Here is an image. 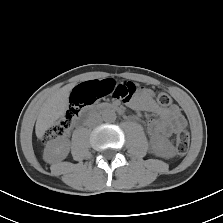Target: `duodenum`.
Instances as JSON below:
<instances>
[{
  "mask_svg": "<svg viewBox=\"0 0 223 223\" xmlns=\"http://www.w3.org/2000/svg\"><path fill=\"white\" fill-rule=\"evenodd\" d=\"M103 111H117L119 113H122V108L116 104H101V105L96 106L93 109H90L88 112L91 114H95V113L103 112ZM86 119H87L86 117L80 119L77 122V125L80 126L82 123L86 121Z\"/></svg>",
  "mask_w": 223,
  "mask_h": 223,
  "instance_id": "410a0bca",
  "label": "duodenum"
}]
</instances>
